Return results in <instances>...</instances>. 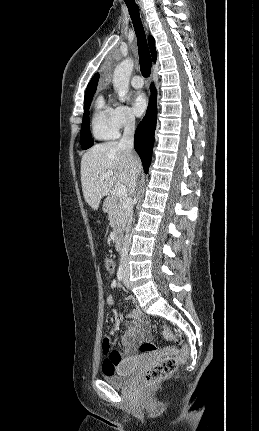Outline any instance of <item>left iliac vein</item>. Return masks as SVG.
Returning <instances> with one entry per match:
<instances>
[{
  "label": "left iliac vein",
  "instance_id": "obj_1",
  "mask_svg": "<svg viewBox=\"0 0 259 431\" xmlns=\"http://www.w3.org/2000/svg\"><path fill=\"white\" fill-rule=\"evenodd\" d=\"M123 283L126 287L129 288V270L126 267L125 272H124V279H123Z\"/></svg>",
  "mask_w": 259,
  "mask_h": 431
}]
</instances>
